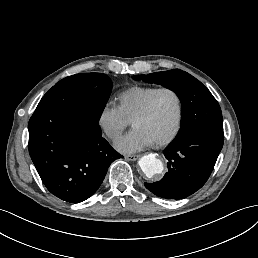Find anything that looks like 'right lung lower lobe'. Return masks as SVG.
I'll return each mask as SVG.
<instances>
[{"label":"right lung lower lobe","instance_id":"right-lung-lower-lobe-1","mask_svg":"<svg viewBox=\"0 0 258 258\" xmlns=\"http://www.w3.org/2000/svg\"><path fill=\"white\" fill-rule=\"evenodd\" d=\"M88 92L77 85L51 88L28 123L29 153L44 185L71 203L92 196L110 164L123 157L102 137Z\"/></svg>","mask_w":258,"mask_h":258}]
</instances>
